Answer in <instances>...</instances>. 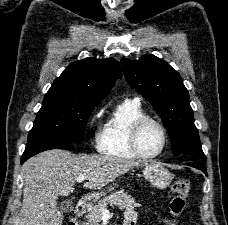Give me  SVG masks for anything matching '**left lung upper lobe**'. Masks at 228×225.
<instances>
[{
	"label": "left lung upper lobe",
	"mask_w": 228,
	"mask_h": 225,
	"mask_svg": "<svg viewBox=\"0 0 228 225\" xmlns=\"http://www.w3.org/2000/svg\"><path fill=\"white\" fill-rule=\"evenodd\" d=\"M129 85L141 93L163 120L175 156L186 155L203 162L198 130L194 124L189 94L180 74L166 61L144 55L138 60L121 59Z\"/></svg>",
	"instance_id": "5c2ea615"
}]
</instances>
